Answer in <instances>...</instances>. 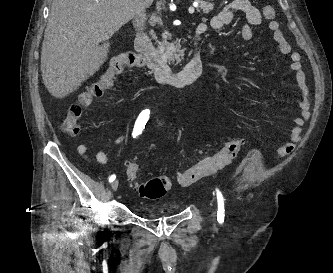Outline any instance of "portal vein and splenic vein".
I'll return each instance as SVG.
<instances>
[{"mask_svg": "<svg viewBox=\"0 0 333 273\" xmlns=\"http://www.w3.org/2000/svg\"><path fill=\"white\" fill-rule=\"evenodd\" d=\"M194 7H197V4H193V6H190L188 11L190 14H193L194 13Z\"/></svg>", "mask_w": 333, "mask_h": 273, "instance_id": "18ae733b", "label": "portal vein and splenic vein"}]
</instances>
